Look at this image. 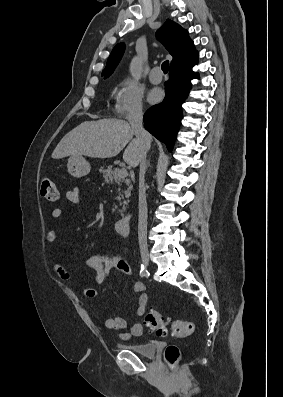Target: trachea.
Wrapping results in <instances>:
<instances>
[{
    "mask_svg": "<svg viewBox=\"0 0 283 397\" xmlns=\"http://www.w3.org/2000/svg\"><path fill=\"white\" fill-rule=\"evenodd\" d=\"M162 71L164 72V74L168 73V69H169V61L166 60L162 63Z\"/></svg>",
    "mask_w": 283,
    "mask_h": 397,
    "instance_id": "obj_1",
    "label": "trachea"
}]
</instances>
